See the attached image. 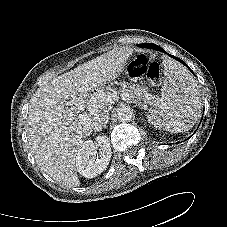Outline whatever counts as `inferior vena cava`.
Wrapping results in <instances>:
<instances>
[{"label":"inferior vena cava","instance_id":"inferior-vena-cava-1","mask_svg":"<svg viewBox=\"0 0 227 227\" xmlns=\"http://www.w3.org/2000/svg\"><path fill=\"white\" fill-rule=\"evenodd\" d=\"M109 121V116L106 113H100L93 117L92 122H91V127L95 131H100L103 127L106 126V124Z\"/></svg>","mask_w":227,"mask_h":227}]
</instances>
